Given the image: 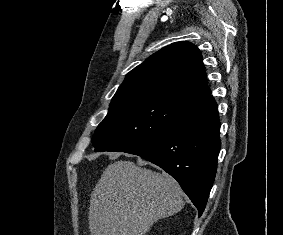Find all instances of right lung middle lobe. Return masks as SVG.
Listing matches in <instances>:
<instances>
[{
    "mask_svg": "<svg viewBox=\"0 0 283 235\" xmlns=\"http://www.w3.org/2000/svg\"><path fill=\"white\" fill-rule=\"evenodd\" d=\"M187 104L167 99H138L111 103L92 143L96 152H119L144 143L169 128Z\"/></svg>",
    "mask_w": 283,
    "mask_h": 235,
    "instance_id": "dd1d6c3e",
    "label": "right lung middle lobe"
}]
</instances>
